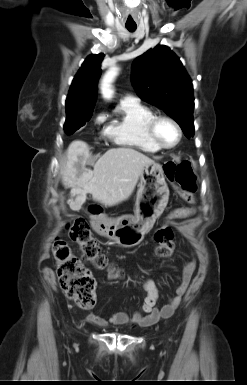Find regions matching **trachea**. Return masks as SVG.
Listing matches in <instances>:
<instances>
[{
    "mask_svg": "<svg viewBox=\"0 0 247 385\" xmlns=\"http://www.w3.org/2000/svg\"><path fill=\"white\" fill-rule=\"evenodd\" d=\"M126 28L130 31V32H134L136 30V25H126Z\"/></svg>",
    "mask_w": 247,
    "mask_h": 385,
    "instance_id": "1",
    "label": "trachea"
}]
</instances>
